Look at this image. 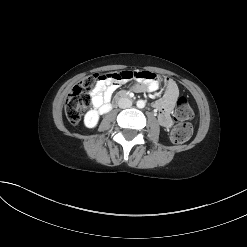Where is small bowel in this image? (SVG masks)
Listing matches in <instances>:
<instances>
[{
    "mask_svg": "<svg viewBox=\"0 0 247 247\" xmlns=\"http://www.w3.org/2000/svg\"><path fill=\"white\" fill-rule=\"evenodd\" d=\"M103 76L91 92V104L101 113H106L111 109V98L122 83H137L134 85L135 90L148 92H154L160 86L157 75L150 70L111 71ZM162 83L165 87V93L162 99L154 103V107L159 111L158 121L160 125L164 128H170L173 125L171 113L179 97V89L171 79L165 78Z\"/></svg>",
    "mask_w": 247,
    "mask_h": 247,
    "instance_id": "c3829d8e",
    "label": "small bowel"
}]
</instances>
